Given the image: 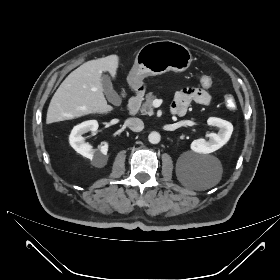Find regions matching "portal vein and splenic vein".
<instances>
[{
	"mask_svg": "<svg viewBox=\"0 0 280 280\" xmlns=\"http://www.w3.org/2000/svg\"><path fill=\"white\" fill-rule=\"evenodd\" d=\"M152 105H153L154 107H158V106L160 105V101H159V100H154L153 103H152Z\"/></svg>",
	"mask_w": 280,
	"mask_h": 280,
	"instance_id": "obj_1",
	"label": "portal vein and splenic vein"
}]
</instances>
